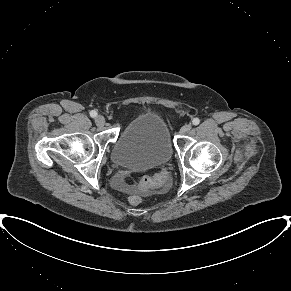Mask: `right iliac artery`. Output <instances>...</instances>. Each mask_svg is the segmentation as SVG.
Segmentation results:
<instances>
[{
    "mask_svg": "<svg viewBox=\"0 0 291 291\" xmlns=\"http://www.w3.org/2000/svg\"><path fill=\"white\" fill-rule=\"evenodd\" d=\"M90 116H91L92 118H95V117L97 116V112H96L95 110H92V111L90 112Z\"/></svg>",
    "mask_w": 291,
    "mask_h": 291,
    "instance_id": "82829eb1",
    "label": "right iliac artery"
}]
</instances>
